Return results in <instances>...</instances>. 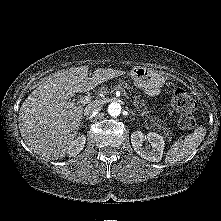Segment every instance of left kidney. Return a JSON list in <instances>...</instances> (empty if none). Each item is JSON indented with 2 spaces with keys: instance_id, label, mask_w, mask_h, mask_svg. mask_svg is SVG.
Returning a JSON list of instances; mask_svg holds the SVG:
<instances>
[{
  "instance_id": "obj_1",
  "label": "left kidney",
  "mask_w": 221,
  "mask_h": 221,
  "mask_svg": "<svg viewBox=\"0 0 221 221\" xmlns=\"http://www.w3.org/2000/svg\"><path fill=\"white\" fill-rule=\"evenodd\" d=\"M145 140H148L151 144V150L142 146V143ZM131 144L135 152L142 158L152 162L161 161L165 142L163 137L158 133L150 132L147 135H144L141 131H135L131 134Z\"/></svg>"
}]
</instances>
